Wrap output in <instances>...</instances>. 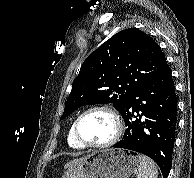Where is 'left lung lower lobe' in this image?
<instances>
[{"mask_svg":"<svg viewBox=\"0 0 194 178\" xmlns=\"http://www.w3.org/2000/svg\"><path fill=\"white\" fill-rule=\"evenodd\" d=\"M120 113L127 129L122 140L113 147L149 156L160 167L163 178H167L172 165L178 113L168 64L128 96Z\"/></svg>","mask_w":194,"mask_h":178,"instance_id":"obj_1","label":"left lung lower lobe"}]
</instances>
